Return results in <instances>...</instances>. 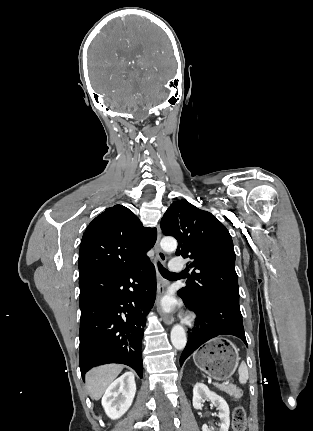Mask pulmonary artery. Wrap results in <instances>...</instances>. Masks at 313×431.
I'll list each match as a JSON object with an SVG mask.
<instances>
[{
  "instance_id": "1",
  "label": "pulmonary artery",
  "mask_w": 313,
  "mask_h": 431,
  "mask_svg": "<svg viewBox=\"0 0 313 431\" xmlns=\"http://www.w3.org/2000/svg\"><path fill=\"white\" fill-rule=\"evenodd\" d=\"M169 268L172 272H181L183 270L182 261L179 258H174L169 263Z\"/></svg>"
}]
</instances>
